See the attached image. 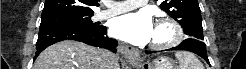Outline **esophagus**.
<instances>
[{
  "label": "esophagus",
  "instance_id": "34e87169",
  "mask_svg": "<svg viewBox=\"0 0 246 69\" xmlns=\"http://www.w3.org/2000/svg\"><path fill=\"white\" fill-rule=\"evenodd\" d=\"M118 51L131 63L137 62L140 59V53L134 47L128 45H119Z\"/></svg>",
  "mask_w": 246,
  "mask_h": 69
}]
</instances>
